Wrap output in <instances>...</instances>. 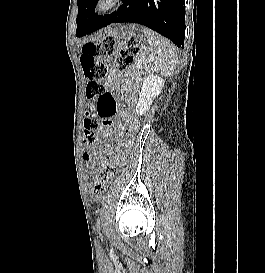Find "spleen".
I'll list each match as a JSON object with an SVG mask.
<instances>
[{
	"instance_id": "spleen-1",
	"label": "spleen",
	"mask_w": 265,
	"mask_h": 273,
	"mask_svg": "<svg viewBox=\"0 0 265 273\" xmlns=\"http://www.w3.org/2000/svg\"><path fill=\"white\" fill-rule=\"evenodd\" d=\"M149 50L155 59L154 69L160 71L161 75L167 76L175 68L178 57L174 45L161 35L148 28H143Z\"/></svg>"
}]
</instances>
